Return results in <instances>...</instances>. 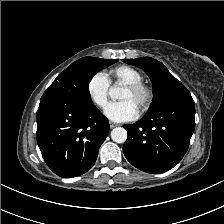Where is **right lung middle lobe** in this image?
Here are the masks:
<instances>
[{"label": "right lung middle lobe", "mask_w": 224, "mask_h": 224, "mask_svg": "<svg viewBox=\"0 0 224 224\" xmlns=\"http://www.w3.org/2000/svg\"><path fill=\"white\" fill-rule=\"evenodd\" d=\"M116 59L84 57L67 67L45 92H56L78 100L92 103L89 83L100 70L116 63Z\"/></svg>", "instance_id": "right-lung-middle-lobe-1"}]
</instances>
